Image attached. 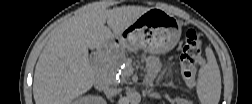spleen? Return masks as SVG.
Segmentation results:
<instances>
[{
	"label": "spleen",
	"instance_id": "3e777b00",
	"mask_svg": "<svg viewBox=\"0 0 252 104\" xmlns=\"http://www.w3.org/2000/svg\"><path fill=\"white\" fill-rule=\"evenodd\" d=\"M207 63L199 69L196 91L202 104H217L221 95V74L214 53L206 48Z\"/></svg>",
	"mask_w": 252,
	"mask_h": 104
}]
</instances>
